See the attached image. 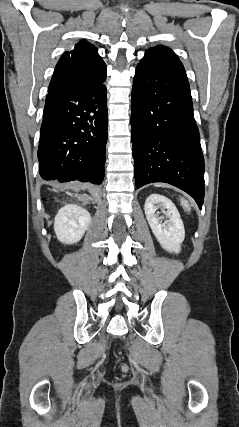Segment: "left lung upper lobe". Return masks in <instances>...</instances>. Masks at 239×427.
<instances>
[{
    "label": "left lung upper lobe",
    "instance_id": "1",
    "mask_svg": "<svg viewBox=\"0 0 239 427\" xmlns=\"http://www.w3.org/2000/svg\"><path fill=\"white\" fill-rule=\"evenodd\" d=\"M141 62L187 79L179 58L167 47L157 46L148 49Z\"/></svg>",
    "mask_w": 239,
    "mask_h": 427
}]
</instances>
